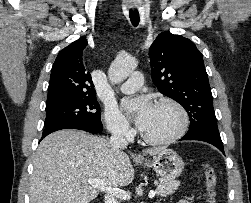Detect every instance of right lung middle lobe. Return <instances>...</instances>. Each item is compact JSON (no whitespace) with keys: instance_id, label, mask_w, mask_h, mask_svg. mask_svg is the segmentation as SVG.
Here are the masks:
<instances>
[{"instance_id":"1","label":"right lung middle lobe","mask_w":251,"mask_h":203,"mask_svg":"<svg viewBox=\"0 0 251 203\" xmlns=\"http://www.w3.org/2000/svg\"><path fill=\"white\" fill-rule=\"evenodd\" d=\"M100 105L95 97L46 107L45 127L65 122H79L102 131Z\"/></svg>"}]
</instances>
